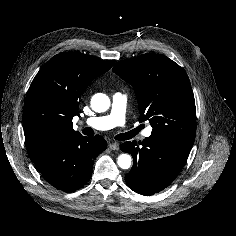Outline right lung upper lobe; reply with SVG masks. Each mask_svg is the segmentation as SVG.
<instances>
[{
	"mask_svg": "<svg viewBox=\"0 0 236 236\" xmlns=\"http://www.w3.org/2000/svg\"><path fill=\"white\" fill-rule=\"evenodd\" d=\"M113 64L114 61H102L78 52H62L39 70L24 104L28 154L80 134L72 123L73 117L79 116V98L91 81Z\"/></svg>",
	"mask_w": 236,
	"mask_h": 236,
	"instance_id": "cb5924a9",
	"label": "right lung upper lobe"
}]
</instances>
